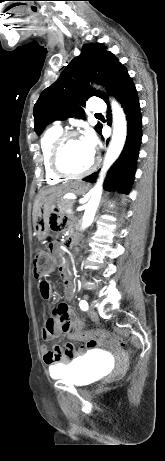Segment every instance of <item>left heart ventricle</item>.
I'll use <instances>...</instances> for the list:
<instances>
[{
  "label": "left heart ventricle",
  "instance_id": "b2bd125f",
  "mask_svg": "<svg viewBox=\"0 0 165 461\" xmlns=\"http://www.w3.org/2000/svg\"><path fill=\"white\" fill-rule=\"evenodd\" d=\"M94 154L89 150L81 137L69 139L61 153V164L70 172H81L92 162Z\"/></svg>",
  "mask_w": 165,
  "mask_h": 461
}]
</instances>
